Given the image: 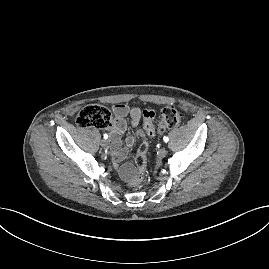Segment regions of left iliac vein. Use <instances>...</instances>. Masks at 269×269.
Listing matches in <instances>:
<instances>
[{
	"mask_svg": "<svg viewBox=\"0 0 269 269\" xmlns=\"http://www.w3.org/2000/svg\"><path fill=\"white\" fill-rule=\"evenodd\" d=\"M166 154H167V150H166V148H164V147L160 148V149L158 150V152H157V155H158L159 158H163V157H165Z\"/></svg>",
	"mask_w": 269,
	"mask_h": 269,
	"instance_id": "1",
	"label": "left iliac vein"
}]
</instances>
